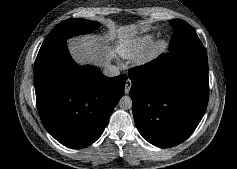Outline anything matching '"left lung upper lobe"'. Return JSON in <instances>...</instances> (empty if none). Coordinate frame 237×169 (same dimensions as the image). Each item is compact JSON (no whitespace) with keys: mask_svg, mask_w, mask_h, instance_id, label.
I'll list each match as a JSON object with an SVG mask.
<instances>
[{"mask_svg":"<svg viewBox=\"0 0 237 169\" xmlns=\"http://www.w3.org/2000/svg\"><path fill=\"white\" fill-rule=\"evenodd\" d=\"M175 29L169 45L167 57L172 58L189 53H204L206 49L194 29L181 19L170 20Z\"/></svg>","mask_w":237,"mask_h":169,"instance_id":"1","label":"left lung upper lobe"}]
</instances>
